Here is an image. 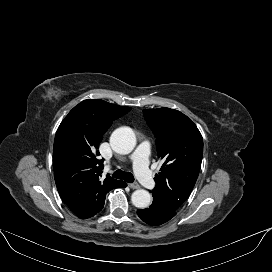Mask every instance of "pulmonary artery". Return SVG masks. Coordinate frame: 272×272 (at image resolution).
<instances>
[{
  "label": "pulmonary artery",
  "instance_id": "1",
  "mask_svg": "<svg viewBox=\"0 0 272 272\" xmlns=\"http://www.w3.org/2000/svg\"><path fill=\"white\" fill-rule=\"evenodd\" d=\"M149 153L150 145L148 142L144 141L140 143L134 151L133 155L131 156V161L139 181L144 187L151 190L155 188L156 181L152 177L148 167Z\"/></svg>",
  "mask_w": 272,
  "mask_h": 272
}]
</instances>
